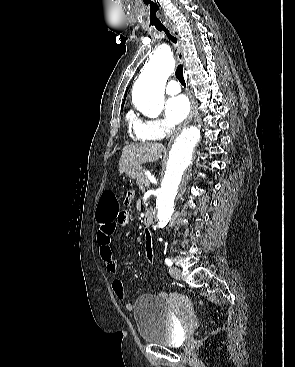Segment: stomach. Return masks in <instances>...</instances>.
<instances>
[{
  "mask_svg": "<svg viewBox=\"0 0 295 367\" xmlns=\"http://www.w3.org/2000/svg\"><path fill=\"white\" fill-rule=\"evenodd\" d=\"M142 173V167L140 165L133 166L126 171V174L131 179H136Z\"/></svg>",
  "mask_w": 295,
  "mask_h": 367,
  "instance_id": "obj_1",
  "label": "stomach"
}]
</instances>
